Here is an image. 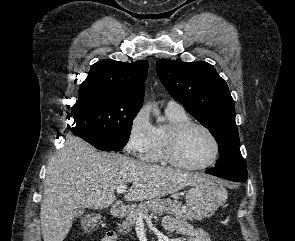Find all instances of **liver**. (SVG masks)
Returning a JSON list of instances; mask_svg holds the SVG:
<instances>
[{
  "label": "liver",
  "mask_w": 295,
  "mask_h": 241,
  "mask_svg": "<svg viewBox=\"0 0 295 241\" xmlns=\"http://www.w3.org/2000/svg\"><path fill=\"white\" fill-rule=\"evenodd\" d=\"M205 175L145 163L128 156L98 152L82 139L68 136L48 161L40 208L44 241H63L81 208L103 209L116 201L118 186L131 183L128 201L173 194L205 182Z\"/></svg>",
  "instance_id": "6515ba94"
}]
</instances>
